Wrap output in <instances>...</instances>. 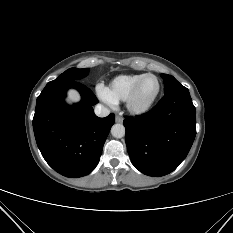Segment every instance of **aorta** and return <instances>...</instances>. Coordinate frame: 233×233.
<instances>
[{"mask_svg": "<svg viewBox=\"0 0 233 233\" xmlns=\"http://www.w3.org/2000/svg\"><path fill=\"white\" fill-rule=\"evenodd\" d=\"M111 134L115 138H122L125 135V127L122 124H114L111 128Z\"/></svg>", "mask_w": 233, "mask_h": 233, "instance_id": "obj_1", "label": "aorta"}]
</instances>
